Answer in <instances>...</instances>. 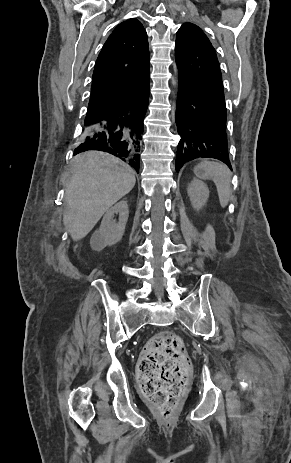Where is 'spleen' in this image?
<instances>
[{
	"instance_id": "1",
	"label": "spleen",
	"mask_w": 291,
	"mask_h": 463,
	"mask_svg": "<svg viewBox=\"0 0 291 463\" xmlns=\"http://www.w3.org/2000/svg\"><path fill=\"white\" fill-rule=\"evenodd\" d=\"M194 173L199 179L212 180L217 188L219 201L224 208L228 205L231 194V172L224 164L204 161L194 168Z\"/></svg>"
}]
</instances>
